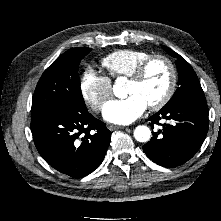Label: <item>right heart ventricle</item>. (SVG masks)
<instances>
[{
  "instance_id": "obj_1",
  "label": "right heart ventricle",
  "mask_w": 221,
  "mask_h": 221,
  "mask_svg": "<svg viewBox=\"0 0 221 221\" xmlns=\"http://www.w3.org/2000/svg\"><path fill=\"white\" fill-rule=\"evenodd\" d=\"M151 54L137 49H120L105 56L101 64L113 78L129 77L137 65Z\"/></svg>"
}]
</instances>
